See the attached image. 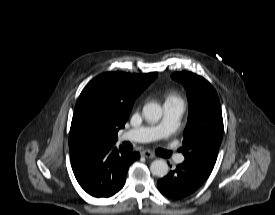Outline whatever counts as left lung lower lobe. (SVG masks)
Wrapping results in <instances>:
<instances>
[{"mask_svg": "<svg viewBox=\"0 0 275 215\" xmlns=\"http://www.w3.org/2000/svg\"><path fill=\"white\" fill-rule=\"evenodd\" d=\"M209 177L186 163L177 165V168L157 182L158 189L167 197L182 199L194 193Z\"/></svg>", "mask_w": 275, "mask_h": 215, "instance_id": "0a47b994", "label": "left lung lower lobe"}]
</instances>
